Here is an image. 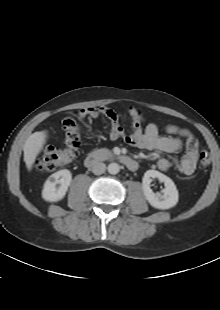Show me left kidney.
Segmentation results:
<instances>
[{"label": "left kidney", "instance_id": "1", "mask_svg": "<svg viewBox=\"0 0 220 310\" xmlns=\"http://www.w3.org/2000/svg\"><path fill=\"white\" fill-rule=\"evenodd\" d=\"M153 178H158L160 182H163L165 188L162 190L163 195L154 193L150 188V183ZM143 193L151 206L157 209H170L174 207L178 202V190L176 185L168 176L160 173L156 170H148L144 173L142 179Z\"/></svg>", "mask_w": 220, "mask_h": 310}]
</instances>
